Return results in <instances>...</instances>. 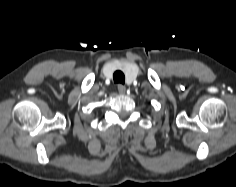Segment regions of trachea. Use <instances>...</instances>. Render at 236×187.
Masks as SVG:
<instances>
[{
  "instance_id": "trachea-1",
  "label": "trachea",
  "mask_w": 236,
  "mask_h": 187,
  "mask_svg": "<svg viewBox=\"0 0 236 187\" xmlns=\"http://www.w3.org/2000/svg\"><path fill=\"white\" fill-rule=\"evenodd\" d=\"M113 80H114L115 83L124 84V82H125L124 73L120 70L115 71L114 74H113Z\"/></svg>"
}]
</instances>
